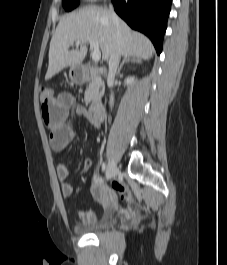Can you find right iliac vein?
Returning a JSON list of instances; mask_svg holds the SVG:
<instances>
[{"label": "right iliac vein", "instance_id": "1", "mask_svg": "<svg viewBox=\"0 0 227 265\" xmlns=\"http://www.w3.org/2000/svg\"><path fill=\"white\" fill-rule=\"evenodd\" d=\"M118 172L116 163L114 162V160H111L108 164V172H107V179H111L113 178Z\"/></svg>", "mask_w": 227, "mask_h": 265}]
</instances>
